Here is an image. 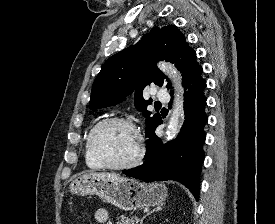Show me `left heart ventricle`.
I'll list each match as a JSON object with an SVG mask.
<instances>
[{"mask_svg": "<svg viewBox=\"0 0 275 224\" xmlns=\"http://www.w3.org/2000/svg\"><path fill=\"white\" fill-rule=\"evenodd\" d=\"M96 148L110 163L122 164L130 161L137 152L134 132L121 123L103 126L96 135Z\"/></svg>", "mask_w": 275, "mask_h": 224, "instance_id": "obj_1", "label": "left heart ventricle"}]
</instances>
